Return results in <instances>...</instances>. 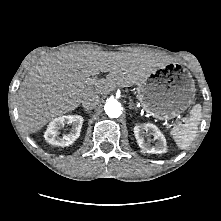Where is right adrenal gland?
<instances>
[{
  "label": "right adrenal gland",
  "instance_id": "right-adrenal-gland-1",
  "mask_svg": "<svg viewBox=\"0 0 221 221\" xmlns=\"http://www.w3.org/2000/svg\"><path fill=\"white\" fill-rule=\"evenodd\" d=\"M84 111L86 112V113H89L90 111L89 110H87V109H84Z\"/></svg>",
  "mask_w": 221,
  "mask_h": 221
}]
</instances>
